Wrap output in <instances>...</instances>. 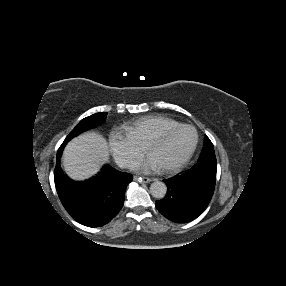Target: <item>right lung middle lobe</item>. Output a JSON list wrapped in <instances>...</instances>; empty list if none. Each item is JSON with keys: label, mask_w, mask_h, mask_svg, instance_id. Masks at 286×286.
Returning <instances> with one entry per match:
<instances>
[{"label": "right lung middle lobe", "mask_w": 286, "mask_h": 286, "mask_svg": "<svg viewBox=\"0 0 286 286\" xmlns=\"http://www.w3.org/2000/svg\"><path fill=\"white\" fill-rule=\"evenodd\" d=\"M106 116L107 113L105 112L96 113L81 120L80 123L66 137V139L63 142V145H65L71 138L80 134L81 132L101 125L105 121Z\"/></svg>", "instance_id": "1"}]
</instances>
